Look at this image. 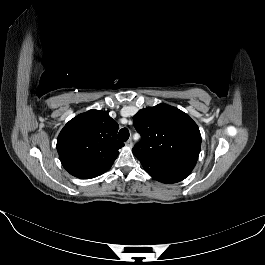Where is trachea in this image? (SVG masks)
<instances>
[{
    "label": "trachea",
    "mask_w": 265,
    "mask_h": 265,
    "mask_svg": "<svg viewBox=\"0 0 265 265\" xmlns=\"http://www.w3.org/2000/svg\"><path fill=\"white\" fill-rule=\"evenodd\" d=\"M128 138H129V131H128V129H127V128H122V129L119 131V133H118V139H119L120 141L125 142V141L128 140Z\"/></svg>",
    "instance_id": "trachea-1"
}]
</instances>
